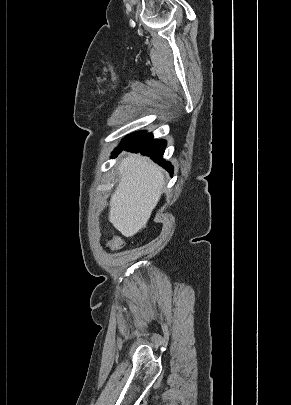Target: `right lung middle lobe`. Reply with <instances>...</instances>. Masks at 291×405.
<instances>
[{
  "instance_id": "dd1d6c3e",
  "label": "right lung middle lobe",
  "mask_w": 291,
  "mask_h": 405,
  "mask_svg": "<svg viewBox=\"0 0 291 405\" xmlns=\"http://www.w3.org/2000/svg\"><path fill=\"white\" fill-rule=\"evenodd\" d=\"M143 134H145V132H137V133H133L129 136H126L122 142L120 143V145L116 148V150L113 152V155L116 154V152L123 146L133 142L134 140H136L137 138H139L140 136H142Z\"/></svg>"
}]
</instances>
